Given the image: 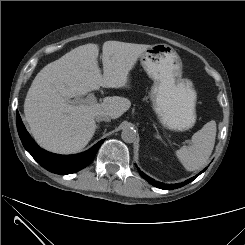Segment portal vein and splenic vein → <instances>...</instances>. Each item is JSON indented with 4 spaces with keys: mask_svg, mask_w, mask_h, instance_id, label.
Wrapping results in <instances>:
<instances>
[{
    "mask_svg": "<svg viewBox=\"0 0 245 245\" xmlns=\"http://www.w3.org/2000/svg\"><path fill=\"white\" fill-rule=\"evenodd\" d=\"M72 102L75 104H96L98 100L95 95L91 93L86 98L74 99Z\"/></svg>",
    "mask_w": 245,
    "mask_h": 245,
    "instance_id": "1",
    "label": "portal vein and splenic vein"
}]
</instances>
